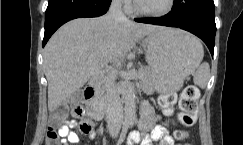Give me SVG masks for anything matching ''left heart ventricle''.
I'll return each mask as SVG.
<instances>
[{
    "label": "left heart ventricle",
    "instance_id": "1",
    "mask_svg": "<svg viewBox=\"0 0 243 145\" xmlns=\"http://www.w3.org/2000/svg\"><path fill=\"white\" fill-rule=\"evenodd\" d=\"M139 2L144 9L158 12L168 6L169 0H139Z\"/></svg>",
    "mask_w": 243,
    "mask_h": 145
}]
</instances>
